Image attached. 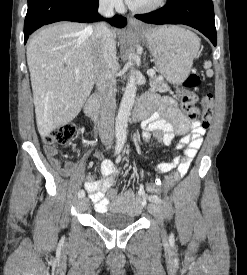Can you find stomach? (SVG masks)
Returning a JSON list of instances; mask_svg holds the SVG:
<instances>
[{
  "label": "stomach",
  "instance_id": "stomach-1",
  "mask_svg": "<svg viewBox=\"0 0 247 275\" xmlns=\"http://www.w3.org/2000/svg\"><path fill=\"white\" fill-rule=\"evenodd\" d=\"M138 34L146 42L157 70L167 81L183 82L198 53L199 38L178 26L145 27Z\"/></svg>",
  "mask_w": 247,
  "mask_h": 275
}]
</instances>
